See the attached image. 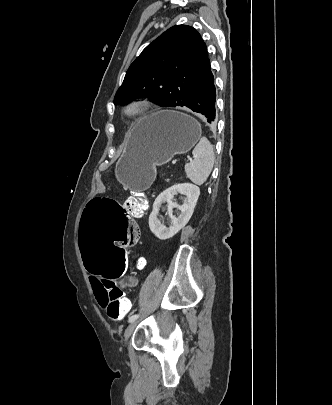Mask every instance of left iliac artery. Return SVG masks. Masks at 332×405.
Segmentation results:
<instances>
[{"label":"left iliac artery","mask_w":332,"mask_h":405,"mask_svg":"<svg viewBox=\"0 0 332 405\" xmlns=\"http://www.w3.org/2000/svg\"><path fill=\"white\" fill-rule=\"evenodd\" d=\"M138 317H139L138 314L132 315L131 317H129L128 322L131 323L133 321H136L138 319Z\"/></svg>","instance_id":"obj_1"}]
</instances>
